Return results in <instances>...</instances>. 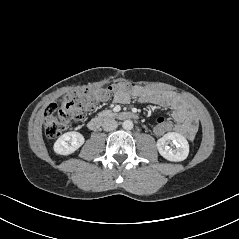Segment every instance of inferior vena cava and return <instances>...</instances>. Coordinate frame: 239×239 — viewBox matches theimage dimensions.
I'll use <instances>...</instances> for the list:
<instances>
[{"label": "inferior vena cava", "instance_id": "1", "mask_svg": "<svg viewBox=\"0 0 239 239\" xmlns=\"http://www.w3.org/2000/svg\"><path fill=\"white\" fill-rule=\"evenodd\" d=\"M102 126L104 131H113L117 128L118 124L116 120L108 118L104 120Z\"/></svg>", "mask_w": 239, "mask_h": 239}]
</instances>
